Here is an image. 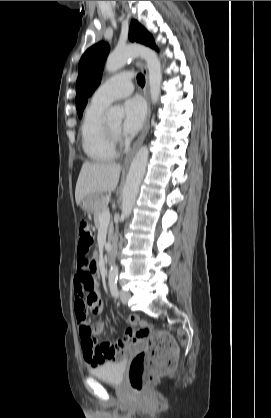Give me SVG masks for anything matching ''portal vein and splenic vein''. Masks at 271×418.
<instances>
[{
	"instance_id": "portal-vein-and-splenic-vein-1",
	"label": "portal vein and splenic vein",
	"mask_w": 271,
	"mask_h": 418,
	"mask_svg": "<svg viewBox=\"0 0 271 418\" xmlns=\"http://www.w3.org/2000/svg\"><path fill=\"white\" fill-rule=\"evenodd\" d=\"M110 221V211L109 209L105 210L100 216V223H109Z\"/></svg>"
}]
</instances>
